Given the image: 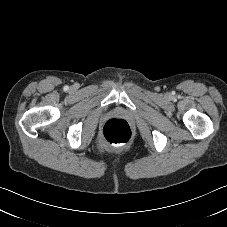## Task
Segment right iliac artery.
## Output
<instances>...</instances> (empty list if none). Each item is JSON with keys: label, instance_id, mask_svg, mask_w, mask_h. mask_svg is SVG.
Listing matches in <instances>:
<instances>
[{"label": "right iliac artery", "instance_id": "right-iliac-artery-1", "mask_svg": "<svg viewBox=\"0 0 227 227\" xmlns=\"http://www.w3.org/2000/svg\"><path fill=\"white\" fill-rule=\"evenodd\" d=\"M64 90H68V87H67V86H65V87H64Z\"/></svg>", "mask_w": 227, "mask_h": 227}]
</instances>
